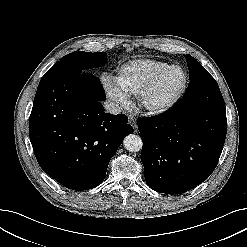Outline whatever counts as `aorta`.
Wrapping results in <instances>:
<instances>
[{"label":"aorta","instance_id":"1","mask_svg":"<svg viewBox=\"0 0 247 247\" xmlns=\"http://www.w3.org/2000/svg\"><path fill=\"white\" fill-rule=\"evenodd\" d=\"M124 147L129 152H138L142 149L143 142L140 136L135 134L127 135L123 141Z\"/></svg>","mask_w":247,"mask_h":247}]
</instances>
